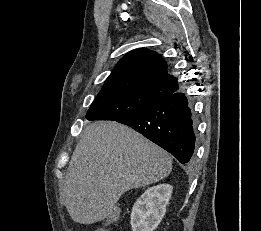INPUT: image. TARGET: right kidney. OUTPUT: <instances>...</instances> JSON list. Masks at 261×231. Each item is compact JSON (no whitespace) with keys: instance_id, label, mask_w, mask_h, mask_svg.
I'll return each mask as SVG.
<instances>
[{"instance_id":"right-kidney-1","label":"right kidney","mask_w":261,"mask_h":231,"mask_svg":"<svg viewBox=\"0 0 261 231\" xmlns=\"http://www.w3.org/2000/svg\"><path fill=\"white\" fill-rule=\"evenodd\" d=\"M173 187L160 184L148 188L136 201L131 213L132 231H154L166 213Z\"/></svg>"}]
</instances>
